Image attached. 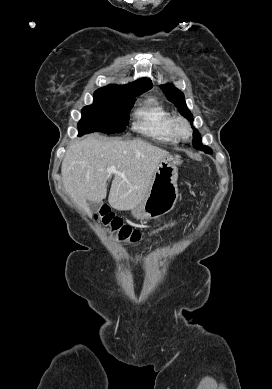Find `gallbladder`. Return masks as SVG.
I'll list each match as a JSON object with an SVG mask.
<instances>
[{"label":"gallbladder","instance_id":"gallbladder-1","mask_svg":"<svg viewBox=\"0 0 272 389\" xmlns=\"http://www.w3.org/2000/svg\"><path fill=\"white\" fill-rule=\"evenodd\" d=\"M88 206L91 209L92 212H98L101 208V203L99 202H88Z\"/></svg>","mask_w":272,"mask_h":389}]
</instances>
